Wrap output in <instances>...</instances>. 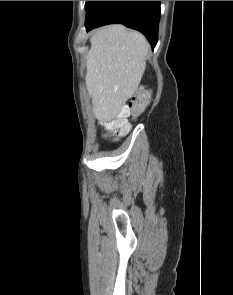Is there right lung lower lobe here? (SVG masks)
<instances>
[{
    "mask_svg": "<svg viewBox=\"0 0 233 295\" xmlns=\"http://www.w3.org/2000/svg\"><path fill=\"white\" fill-rule=\"evenodd\" d=\"M86 30L120 23L142 32L152 49L158 40L160 1H91L86 8Z\"/></svg>",
    "mask_w": 233,
    "mask_h": 295,
    "instance_id": "1",
    "label": "right lung lower lobe"
}]
</instances>
